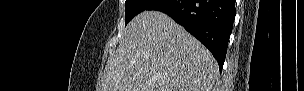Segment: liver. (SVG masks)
<instances>
[{"mask_svg":"<svg viewBox=\"0 0 304 91\" xmlns=\"http://www.w3.org/2000/svg\"><path fill=\"white\" fill-rule=\"evenodd\" d=\"M218 75L213 55L159 11H144L105 66L102 91H211Z\"/></svg>","mask_w":304,"mask_h":91,"instance_id":"6515ba94","label":"liver"}]
</instances>
